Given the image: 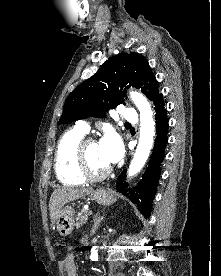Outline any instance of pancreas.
I'll list each match as a JSON object with an SVG mask.
<instances>
[{
  "instance_id": "obj_1",
  "label": "pancreas",
  "mask_w": 221,
  "mask_h": 276,
  "mask_svg": "<svg viewBox=\"0 0 221 276\" xmlns=\"http://www.w3.org/2000/svg\"><path fill=\"white\" fill-rule=\"evenodd\" d=\"M88 211L86 209H82L80 213H78L76 217V228H80L83 224H85L88 220Z\"/></svg>"
}]
</instances>
